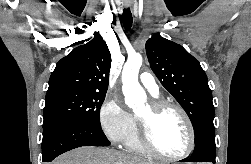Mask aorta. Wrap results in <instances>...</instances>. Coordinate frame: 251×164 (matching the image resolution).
<instances>
[{"instance_id":"obj_1","label":"aorta","mask_w":251,"mask_h":164,"mask_svg":"<svg viewBox=\"0 0 251 164\" xmlns=\"http://www.w3.org/2000/svg\"><path fill=\"white\" fill-rule=\"evenodd\" d=\"M142 65V56L138 53L130 55L122 71V90L125 103L128 107L136 109L146 102V93L138 82V73Z\"/></svg>"}]
</instances>
